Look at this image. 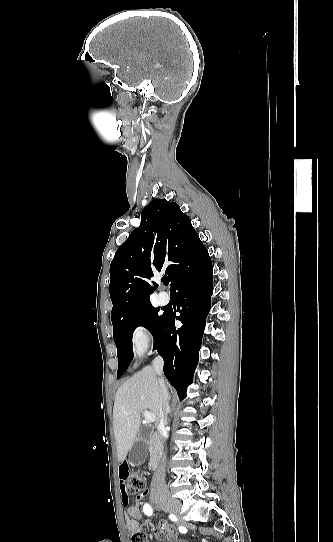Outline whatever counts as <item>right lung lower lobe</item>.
I'll return each mask as SVG.
<instances>
[{
    "instance_id": "right-lung-lower-lobe-1",
    "label": "right lung lower lobe",
    "mask_w": 333,
    "mask_h": 542,
    "mask_svg": "<svg viewBox=\"0 0 333 542\" xmlns=\"http://www.w3.org/2000/svg\"><path fill=\"white\" fill-rule=\"evenodd\" d=\"M171 290L177 298L176 311L180 315L164 312L166 315L154 339V349L162 356L164 374L182 400L198 363L204 322L213 293V267L200 239L177 252ZM175 320L182 322L181 328L175 327Z\"/></svg>"
}]
</instances>
